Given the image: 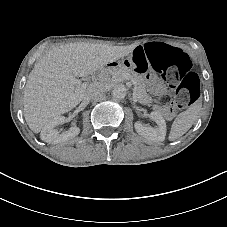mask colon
I'll return each instance as SVG.
<instances>
[{"instance_id":"colon-1","label":"colon","mask_w":227,"mask_h":227,"mask_svg":"<svg viewBox=\"0 0 227 227\" xmlns=\"http://www.w3.org/2000/svg\"><path fill=\"white\" fill-rule=\"evenodd\" d=\"M145 46L149 65L138 53L133 54L132 61L139 72H158L174 89V97L165 94L157 101L158 107L167 116H172L177 109L199 98V78L192 70L189 57L181 49L164 43H148Z\"/></svg>"}]
</instances>
